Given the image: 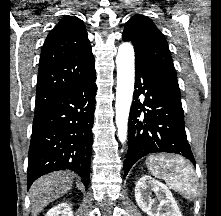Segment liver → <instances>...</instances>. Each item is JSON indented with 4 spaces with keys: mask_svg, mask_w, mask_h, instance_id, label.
Here are the masks:
<instances>
[{
    "mask_svg": "<svg viewBox=\"0 0 221 216\" xmlns=\"http://www.w3.org/2000/svg\"><path fill=\"white\" fill-rule=\"evenodd\" d=\"M72 187V175L67 171L53 172L37 179L30 188L31 208L37 216L49 203Z\"/></svg>",
    "mask_w": 221,
    "mask_h": 216,
    "instance_id": "6515ba94",
    "label": "liver"
}]
</instances>
